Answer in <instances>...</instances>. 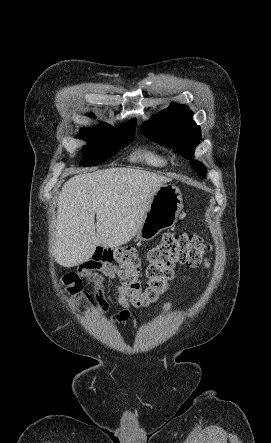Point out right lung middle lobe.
<instances>
[{"label": "right lung middle lobe", "mask_w": 271, "mask_h": 443, "mask_svg": "<svg viewBox=\"0 0 271 443\" xmlns=\"http://www.w3.org/2000/svg\"><path fill=\"white\" fill-rule=\"evenodd\" d=\"M135 127L136 121L132 120L120 128H114L106 123H101L96 127L82 128L79 138L98 139L83 147L80 166H94L115 155L130 143Z\"/></svg>", "instance_id": "obj_1"}]
</instances>
